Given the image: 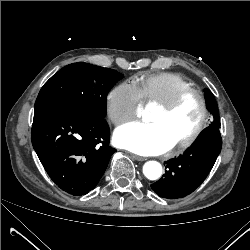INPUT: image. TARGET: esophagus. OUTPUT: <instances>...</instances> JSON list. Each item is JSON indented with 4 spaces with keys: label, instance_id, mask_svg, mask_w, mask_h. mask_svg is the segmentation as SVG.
I'll list each match as a JSON object with an SVG mask.
<instances>
[{
    "label": "esophagus",
    "instance_id": "esophagus-1",
    "mask_svg": "<svg viewBox=\"0 0 250 250\" xmlns=\"http://www.w3.org/2000/svg\"><path fill=\"white\" fill-rule=\"evenodd\" d=\"M131 158H133L134 160H137V161H145L146 160L145 157L138 156V155H135V154H131Z\"/></svg>",
    "mask_w": 250,
    "mask_h": 250
}]
</instances>
